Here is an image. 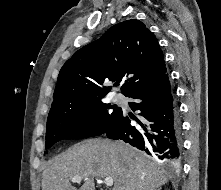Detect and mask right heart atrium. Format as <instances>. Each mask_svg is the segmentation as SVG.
Returning a JSON list of instances; mask_svg holds the SVG:
<instances>
[{"label": "right heart atrium", "instance_id": "right-heart-atrium-1", "mask_svg": "<svg viewBox=\"0 0 221 190\" xmlns=\"http://www.w3.org/2000/svg\"><path fill=\"white\" fill-rule=\"evenodd\" d=\"M82 121L84 122V123H89L90 121H91V116H90V114L89 113H83L82 114Z\"/></svg>", "mask_w": 221, "mask_h": 190}]
</instances>
